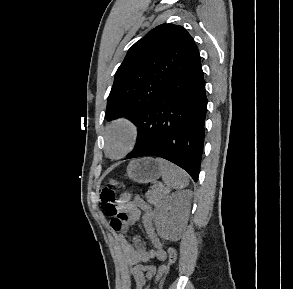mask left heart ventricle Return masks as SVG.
I'll return each instance as SVG.
<instances>
[{
    "label": "left heart ventricle",
    "instance_id": "b2bd125f",
    "mask_svg": "<svg viewBox=\"0 0 293 289\" xmlns=\"http://www.w3.org/2000/svg\"><path fill=\"white\" fill-rule=\"evenodd\" d=\"M128 143V133L123 128L114 130L109 138V152L112 155L120 154Z\"/></svg>",
    "mask_w": 293,
    "mask_h": 289
}]
</instances>
